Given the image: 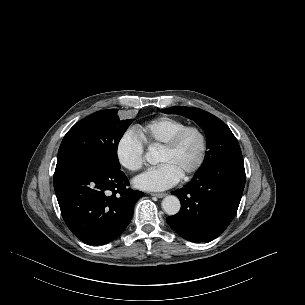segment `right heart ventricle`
Instances as JSON below:
<instances>
[{"label": "right heart ventricle", "instance_id": "1", "mask_svg": "<svg viewBox=\"0 0 305 305\" xmlns=\"http://www.w3.org/2000/svg\"><path fill=\"white\" fill-rule=\"evenodd\" d=\"M187 125L184 120L161 116L139 126L137 133L150 148H161L175 133Z\"/></svg>", "mask_w": 305, "mask_h": 305}]
</instances>
